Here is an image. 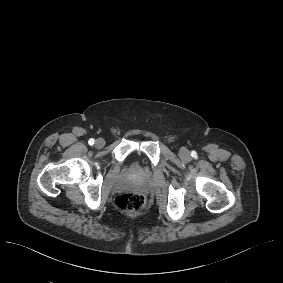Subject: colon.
<instances>
[{
    "label": "colon",
    "mask_w": 283,
    "mask_h": 283,
    "mask_svg": "<svg viewBox=\"0 0 283 283\" xmlns=\"http://www.w3.org/2000/svg\"><path fill=\"white\" fill-rule=\"evenodd\" d=\"M116 206L129 213L140 212L145 205V199L138 193H126L118 196L115 200Z\"/></svg>",
    "instance_id": "obj_1"
}]
</instances>
